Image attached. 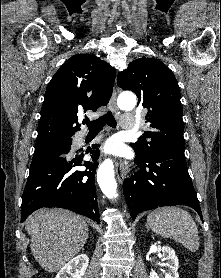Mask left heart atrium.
<instances>
[{"mask_svg": "<svg viewBox=\"0 0 221 278\" xmlns=\"http://www.w3.org/2000/svg\"><path fill=\"white\" fill-rule=\"evenodd\" d=\"M115 148H116V146H115V144H113V143H110V144H108L107 145V150H115Z\"/></svg>", "mask_w": 221, "mask_h": 278, "instance_id": "left-heart-atrium-1", "label": "left heart atrium"}]
</instances>
